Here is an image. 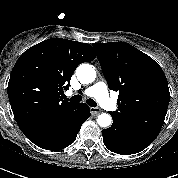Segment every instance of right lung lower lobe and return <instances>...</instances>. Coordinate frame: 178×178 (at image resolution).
Masks as SVG:
<instances>
[{"mask_svg":"<svg viewBox=\"0 0 178 178\" xmlns=\"http://www.w3.org/2000/svg\"><path fill=\"white\" fill-rule=\"evenodd\" d=\"M90 116L89 107L85 103H80L79 109L70 123L62 127L49 129L28 139L43 149L61 150L75 141L82 124Z\"/></svg>","mask_w":178,"mask_h":178,"instance_id":"1","label":"right lung lower lobe"}]
</instances>
